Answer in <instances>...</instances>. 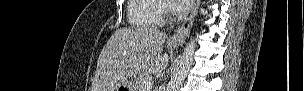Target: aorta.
I'll return each mask as SVG.
<instances>
[{"mask_svg":"<svg viewBox=\"0 0 304 91\" xmlns=\"http://www.w3.org/2000/svg\"><path fill=\"white\" fill-rule=\"evenodd\" d=\"M196 38H191L178 61L177 67L167 85V91H178L185 80L193 62L196 50Z\"/></svg>","mask_w":304,"mask_h":91,"instance_id":"1","label":"aorta"}]
</instances>
